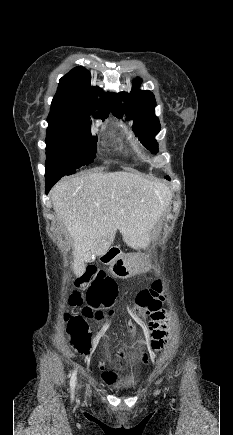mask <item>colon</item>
Segmentation results:
<instances>
[{"label": "colon", "instance_id": "obj_1", "mask_svg": "<svg viewBox=\"0 0 233 435\" xmlns=\"http://www.w3.org/2000/svg\"><path fill=\"white\" fill-rule=\"evenodd\" d=\"M97 282H108L111 280L103 270L92 267L75 284L74 292L70 302L73 305H81L82 297L79 290L84 288L91 280ZM165 296V283L162 280L155 281L150 288L141 290L135 300L134 313L140 317H154L160 309L162 300ZM111 300L108 297L100 298L93 296L89 298V304L98 305L100 303L108 304ZM100 318L101 314L94 315L90 308H84L81 314L69 318L71 324L72 343L74 348L80 353H88L92 347L93 332L88 320L93 317ZM155 340L152 342L154 349L161 348L166 342V331L156 330L154 332ZM117 351L124 354L126 351L123 347H118ZM148 358L145 356L144 360Z\"/></svg>", "mask_w": 233, "mask_h": 435}]
</instances>
